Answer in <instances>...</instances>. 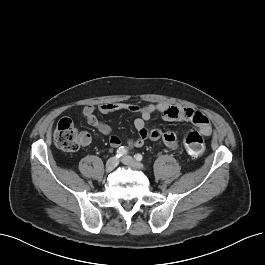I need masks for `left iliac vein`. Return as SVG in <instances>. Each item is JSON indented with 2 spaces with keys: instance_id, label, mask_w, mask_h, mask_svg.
I'll list each match as a JSON object with an SVG mask.
<instances>
[{
  "instance_id": "left-iliac-vein-1",
  "label": "left iliac vein",
  "mask_w": 265,
  "mask_h": 265,
  "mask_svg": "<svg viewBox=\"0 0 265 265\" xmlns=\"http://www.w3.org/2000/svg\"><path fill=\"white\" fill-rule=\"evenodd\" d=\"M121 161L128 166L137 168V169H144L143 164L137 162L135 159H133L131 156H124L122 157Z\"/></svg>"
}]
</instances>
